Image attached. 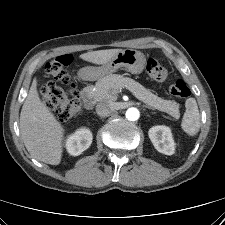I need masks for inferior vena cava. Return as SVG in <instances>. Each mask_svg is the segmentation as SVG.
Here are the masks:
<instances>
[{
	"mask_svg": "<svg viewBox=\"0 0 225 225\" xmlns=\"http://www.w3.org/2000/svg\"><path fill=\"white\" fill-rule=\"evenodd\" d=\"M113 111V104L107 101H101L96 105V112L99 116L107 117Z\"/></svg>",
	"mask_w": 225,
	"mask_h": 225,
	"instance_id": "inferior-vena-cava-1",
	"label": "inferior vena cava"
}]
</instances>
